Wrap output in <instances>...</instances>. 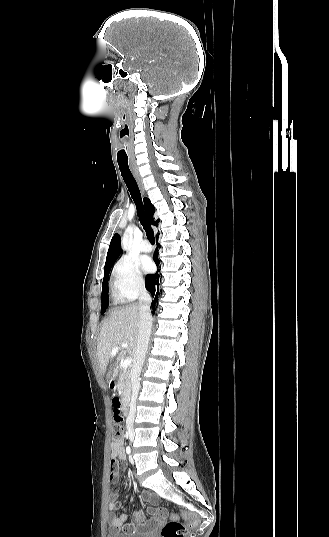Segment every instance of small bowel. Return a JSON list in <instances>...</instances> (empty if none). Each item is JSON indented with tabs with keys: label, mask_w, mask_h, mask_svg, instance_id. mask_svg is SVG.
I'll return each mask as SVG.
<instances>
[{
	"label": "small bowel",
	"mask_w": 329,
	"mask_h": 537,
	"mask_svg": "<svg viewBox=\"0 0 329 537\" xmlns=\"http://www.w3.org/2000/svg\"><path fill=\"white\" fill-rule=\"evenodd\" d=\"M113 408V417L112 420L114 423L119 424L122 422V412L121 408L117 403L112 405ZM125 460V450L123 441L119 443L111 444V459L109 461V474L111 484L114 486L119 481V471L122 467V462ZM143 499L150 502L154 505L153 508H149L147 513L151 515V518H146L145 512H136L133 515L132 521L128 522L127 514L123 513L119 516H116L114 513L121 507L119 502V492L116 489H112L109 495V504L108 508L110 511L109 523L110 527L115 530H122L126 533H140L152 531L159 526V524L166 518L167 512L163 507L158 505V497L150 492H144L142 495Z\"/></svg>",
	"instance_id": "1"
}]
</instances>
